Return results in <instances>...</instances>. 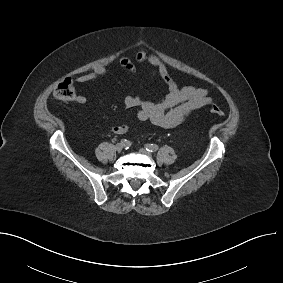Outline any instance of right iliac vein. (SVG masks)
<instances>
[{
    "label": "right iliac vein",
    "mask_w": 283,
    "mask_h": 283,
    "mask_svg": "<svg viewBox=\"0 0 283 283\" xmlns=\"http://www.w3.org/2000/svg\"><path fill=\"white\" fill-rule=\"evenodd\" d=\"M124 146L121 144V143H118L116 146H115V149L117 152H121L123 150Z\"/></svg>",
    "instance_id": "1"
}]
</instances>
